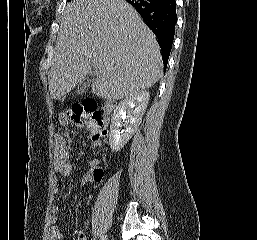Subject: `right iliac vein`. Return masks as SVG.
Returning a JSON list of instances; mask_svg holds the SVG:
<instances>
[{
  "mask_svg": "<svg viewBox=\"0 0 257 240\" xmlns=\"http://www.w3.org/2000/svg\"><path fill=\"white\" fill-rule=\"evenodd\" d=\"M101 240H108V239H107V236H106V235L102 236V237H101Z\"/></svg>",
  "mask_w": 257,
  "mask_h": 240,
  "instance_id": "obj_1",
  "label": "right iliac vein"
}]
</instances>
